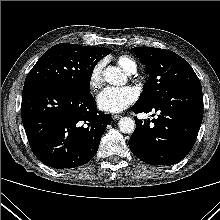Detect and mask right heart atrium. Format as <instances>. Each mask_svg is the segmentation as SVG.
<instances>
[{"label": "right heart atrium", "mask_w": 220, "mask_h": 220, "mask_svg": "<svg viewBox=\"0 0 220 220\" xmlns=\"http://www.w3.org/2000/svg\"><path fill=\"white\" fill-rule=\"evenodd\" d=\"M104 60L98 61L89 73V87L92 91H97L103 84Z\"/></svg>", "instance_id": "d8ad5b80"}]
</instances>
